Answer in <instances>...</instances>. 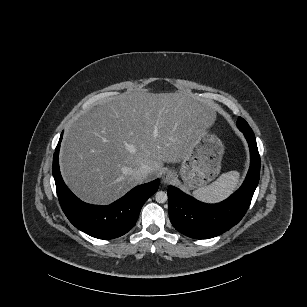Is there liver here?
Instances as JSON below:
<instances>
[{"label":"liver","instance_id":"obj_1","mask_svg":"<svg viewBox=\"0 0 307 307\" xmlns=\"http://www.w3.org/2000/svg\"><path fill=\"white\" fill-rule=\"evenodd\" d=\"M209 99L183 93H125L99 103L71 124L63 139L60 171L81 201L106 206L138 183L162 174L164 161L179 162L210 117Z\"/></svg>","mask_w":307,"mask_h":307}]
</instances>
